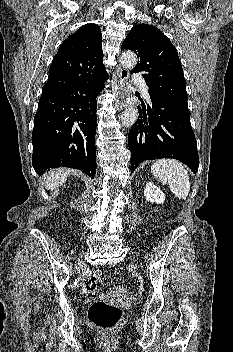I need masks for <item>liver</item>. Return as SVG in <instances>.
I'll list each match as a JSON object with an SVG mask.
<instances>
[{
    "label": "liver",
    "mask_w": 233,
    "mask_h": 352,
    "mask_svg": "<svg viewBox=\"0 0 233 352\" xmlns=\"http://www.w3.org/2000/svg\"><path fill=\"white\" fill-rule=\"evenodd\" d=\"M70 175V171L67 169L59 168L57 170H53L47 175L45 186L47 189H55L62 185L67 177Z\"/></svg>",
    "instance_id": "6515ba94"
}]
</instances>
